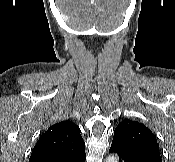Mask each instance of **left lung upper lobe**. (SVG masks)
<instances>
[{
	"mask_svg": "<svg viewBox=\"0 0 175 162\" xmlns=\"http://www.w3.org/2000/svg\"><path fill=\"white\" fill-rule=\"evenodd\" d=\"M112 142L127 149L144 147L159 149L156 137L151 130L145 125L130 119H124L116 127Z\"/></svg>",
	"mask_w": 175,
	"mask_h": 162,
	"instance_id": "5c2ea615",
	"label": "left lung upper lobe"
}]
</instances>
